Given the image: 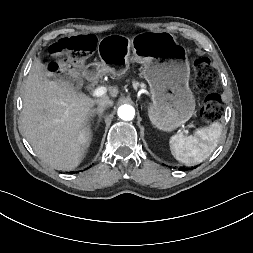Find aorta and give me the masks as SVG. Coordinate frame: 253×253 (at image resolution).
<instances>
[{"label":"aorta","instance_id":"1","mask_svg":"<svg viewBox=\"0 0 253 253\" xmlns=\"http://www.w3.org/2000/svg\"><path fill=\"white\" fill-rule=\"evenodd\" d=\"M118 116L122 120L130 121L135 116V109L131 105H122L118 109Z\"/></svg>","mask_w":253,"mask_h":253}]
</instances>
